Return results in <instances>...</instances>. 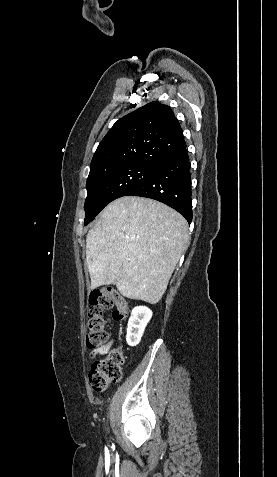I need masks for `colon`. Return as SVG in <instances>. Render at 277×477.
<instances>
[{
    "mask_svg": "<svg viewBox=\"0 0 277 477\" xmlns=\"http://www.w3.org/2000/svg\"><path fill=\"white\" fill-rule=\"evenodd\" d=\"M89 311L86 342L89 348H98L108 341L104 310L113 309L114 320H123L128 314L125 298L113 287L94 290L89 295ZM124 351L121 347L110 350L106 356L93 362L89 372V382L95 392H103L121 378Z\"/></svg>",
    "mask_w": 277,
    "mask_h": 477,
    "instance_id": "5ec220e1",
    "label": "colon"
}]
</instances>
